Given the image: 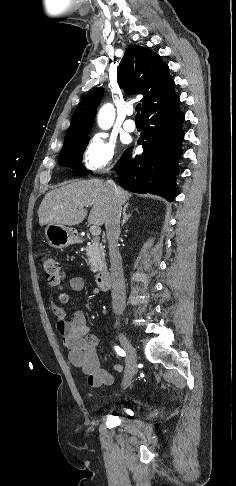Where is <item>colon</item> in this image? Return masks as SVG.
I'll return each mask as SVG.
<instances>
[{
  "label": "colon",
  "mask_w": 236,
  "mask_h": 486,
  "mask_svg": "<svg viewBox=\"0 0 236 486\" xmlns=\"http://www.w3.org/2000/svg\"><path fill=\"white\" fill-rule=\"evenodd\" d=\"M41 266L48 283L53 287H60L63 279V273L59 262L50 255H43L41 258ZM62 300H66V295H61Z\"/></svg>",
  "instance_id": "obj_1"
}]
</instances>
